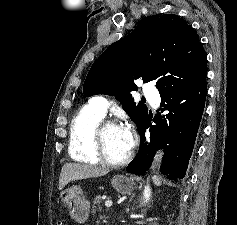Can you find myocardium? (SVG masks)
<instances>
[{
	"instance_id": "f54148a6",
	"label": "myocardium",
	"mask_w": 237,
	"mask_h": 225,
	"mask_svg": "<svg viewBox=\"0 0 237 225\" xmlns=\"http://www.w3.org/2000/svg\"><path fill=\"white\" fill-rule=\"evenodd\" d=\"M114 126H121L120 123H118L115 120L112 119H102L95 127L93 130V144H94V150L95 154L98 157L99 161L102 162L103 164L110 166V167H121L129 163V161L132 158L133 152L130 150L128 155L120 160V161H112L108 158L105 152L104 148V134L105 131L109 127H114Z\"/></svg>"
}]
</instances>
